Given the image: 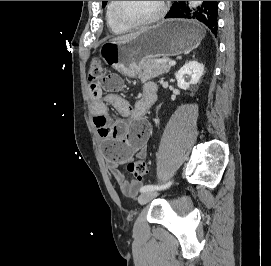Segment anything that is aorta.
<instances>
[{"label":"aorta","mask_w":271,"mask_h":266,"mask_svg":"<svg viewBox=\"0 0 271 266\" xmlns=\"http://www.w3.org/2000/svg\"><path fill=\"white\" fill-rule=\"evenodd\" d=\"M203 3V1H190L189 6L191 8H196L197 6L201 5Z\"/></svg>","instance_id":"obj_1"}]
</instances>
